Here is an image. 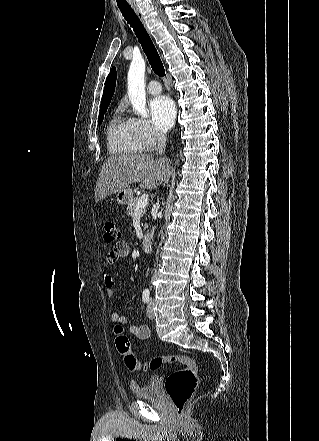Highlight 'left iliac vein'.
<instances>
[{
	"label": "left iliac vein",
	"instance_id": "4c4485c4",
	"mask_svg": "<svg viewBox=\"0 0 319 441\" xmlns=\"http://www.w3.org/2000/svg\"><path fill=\"white\" fill-rule=\"evenodd\" d=\"M153 304H154V302H153V300L151 299V300L148 302V305H147V316H148V318H150V319H154V317H155V314H154V311H153Z\"/></svg>",
	"mask_w": 319,
	"mask_h": 441
}]
</instances>
